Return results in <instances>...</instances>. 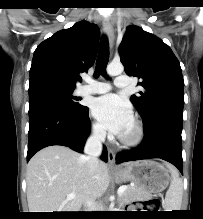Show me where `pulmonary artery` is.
I'll list each match as a JSON object with an SVG mask.
<instances>
[{"mask_svg": "<svg viewBox=\"0 0 203 219\" xmlns=\"http://www.w3.org/2000/svg\"><path fill=\"white\" fill-rule=\"evenodd\" d=\"M130 85L128 76L121 75L115 79V86L118 88H126ZM111 90V85L105 82L89 81L87 85L79 88L80 95L103 94Z\"/></svg>", "mask_w": 203, "mask_h": 219, "instance_id": "pulmonary-artery-1", "label": "pulmonary artery"}]
</instances>
